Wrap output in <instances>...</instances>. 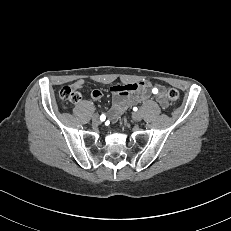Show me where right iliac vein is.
Segmentation results:
<instances>
[{"label":"right iliac vein","instance_id":"1","mask_svg":"<svg viewBox=\"0 0 231 231\" xmlns=\"http://www.w3.org/2000/svg\"><path fill=\"white\" fill-rule=\"evenodd\" d=\"M92 121H93L94 124H100L101 123V120H100V118H99V116L97 114L93 115Z\"/></svg>","mask_w":231,"mask_h":231}]
</instances>
